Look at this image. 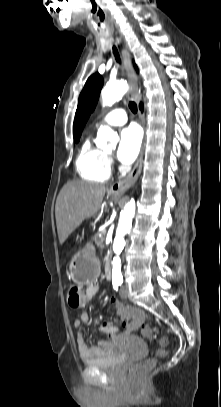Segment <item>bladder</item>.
Listing matches in <instances>:
<instances>
[{
  "label": "bladder",
  "mask_w": 221,
  "mask_h": 407,
  "mask_svg": "<svg viewBox=\"0 0 221 407\" xmlns=\"http://www.w3.org/2000/svg\"><path fill=\"white\" fill-rule=\"evenodd\" d=\"M136 344L141 351L146 350V345L143 341L136 340ZM125 360L126 356L119 349H116L109 356L100 359L86 360L85 365L105 371H116L121 367Z\"/></svg>",
  "instance_id": "obj_1"
}]
</instances>
